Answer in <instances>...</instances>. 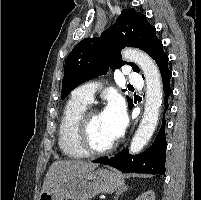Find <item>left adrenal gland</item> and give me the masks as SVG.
I'll return each mask as SVG.
<instances>
[{
  "mask_svg": "<svg viewBox=\"0 0 201 200\" xmlns=\"http://www.w3.org/2000/svg\"><path fill=\"white\" fill-rule=\"evenodd\" d=\"M128 187L127 186H123L122 188L118 189V191L116 192V196L114 197V200H118L119 196L127 191Z\"/></svg>",
  "mask_w": 201,
  "mask_h": 200,
  "instance_id": "a2214340",
  "label": "left adrenal gland"
}]
</instances>
